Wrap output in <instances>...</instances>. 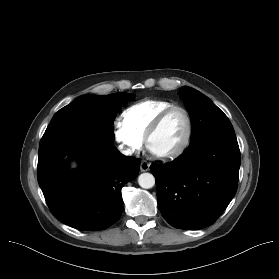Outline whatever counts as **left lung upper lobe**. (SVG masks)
<instances>
[{
	"label": "left lung upper lobe",
	"instance_id": "1",
	"mask_svg": "<svg viewBox=\"0 0 279 279\" xmlns=\"http://www.w3.org/2000/svg\"><path fill=\"white\" fill-rule=\"evenodd\" d=\"M179 96L185 103L192 122L190 142L214 133L234 132L228 117L201 92L183 86Z\"/></svg>",
	"mask_w": 279,
	"mask_h": 279
}]
</instances>
